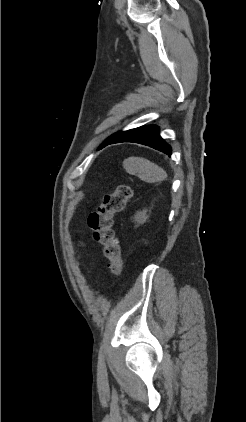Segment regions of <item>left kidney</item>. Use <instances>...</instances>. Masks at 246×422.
I'll return each instance as SVG.
<instances>
[{"instance_id":"left-kidney-1","label":"left kidney","mask_w":246,"mask_h":422,"mask_svg":"<svg viewBox=\"0 0 246 422\" xmlns=\"http://www.w3.org/2000/svg\"><path fill=\"white\" fill-rule=\"evenodd\" d=\"M147 219H148L147 210L145 209L142 211H138L133 217V221L137 223L138 226L141 224H144L147 221Z\"/></svg>"}]
</instances>
